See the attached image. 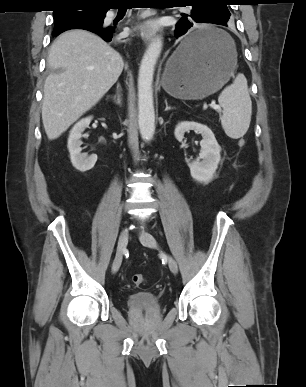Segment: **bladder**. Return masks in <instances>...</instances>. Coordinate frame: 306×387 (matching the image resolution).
Segmentation results:
<instances>
[{
	"label": "bladder",
	"instance_id": "31cf9c89",
	"mask_svg": "<svg viewBox=\"0 0 306 387\" xmlns=\"http://www.w3.org/2000/svg\"><path fill=\"white\" fill-rule=\"evenodd\" d=\"M160 306L159 298L151 292H135L127 298V307L132 311H156Z\"/></svg>",
	"mask_w": 306,
	"mask_h": 387
}]
</instances>
